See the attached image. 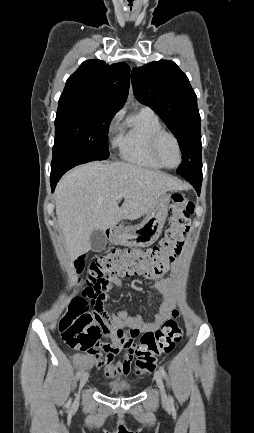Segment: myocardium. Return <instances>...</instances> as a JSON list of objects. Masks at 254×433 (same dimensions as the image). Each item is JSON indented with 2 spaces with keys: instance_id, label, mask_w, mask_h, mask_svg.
Instances as JSON below:
<instances>
[{
  "instance_id": "obj_1",
  "label": "myocardium",
  "mask_w": 254,
  "mask_h": 433,
  "mask_svg": "<svg viewBox=\"0 0 254 433\" xmlns=\"http://www.w3.org/2000/svg\"><path fill=\"white\" fill-rule=\"evenodd\" d=\"M164 135H167V136L171 137V138L173 139V141L175 142L176 147H177V151H178L179 159H178L177 164L174 165V166H167V165H165V164L161 161V159L159 158L158 153H157V146H158L159 140H160V138H161L162 136H164ZM149 150H150V154H151L152 158H153V159H154V160H155V161H156V162H157V163H158L162 168L172 170V169H176L177 167H179L180 164L182 163L183 155H182V149H181L180 142H179L178 138L176 137V135H175L174 133H172V132H170V131H167V130H165V129H159V130H157L156 132H154V133L152 134V136H151V138H150V143H149Z\"/></svg>"
}]
</instances>
